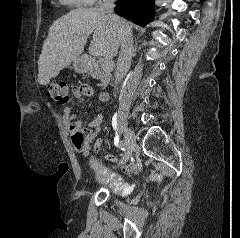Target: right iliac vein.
Listing matches in <instances>:
<instances>
[{
	"label": "right iliac vein",
	"mask_w": 240,
	"mask_h": 238,
	"mask_svg": "<svg viewBox=\"0 0 240 238\" xmlns=\"http://www.w3.org/2000/svg\"><path fill=\"white\" fill-rule=\"evenodd\" d=\"M124 142L126 145V152L123 157L122 163H125L129 160L135 146H136V141L135 137L130 129H124Z\"/></svg>",
	"instance_id": "right-iliac-vein-1"
}]
</instances>
